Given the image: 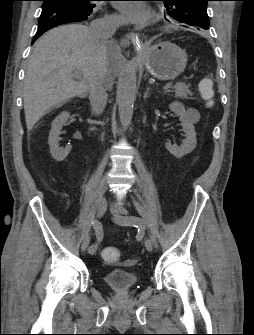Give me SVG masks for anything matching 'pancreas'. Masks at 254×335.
<instances>
[{
	"instance_id": "obj_1",
	"label": "pancreas",
	"mask_w": 254,
	"mask_h": 335,
	"mask_svg": "<svg viewBox=\"0 0 254 335\" xmlns=\"http://www.w3.org/2000/svg\"><path fill=\"white\" fill-rule=\"evenodd\" d=\"M190 84H186L184 82H178L173 86V92L175 93V97L181 99H189V96L192 95L190 91Z\"/></svg>"
}]
</instances>
